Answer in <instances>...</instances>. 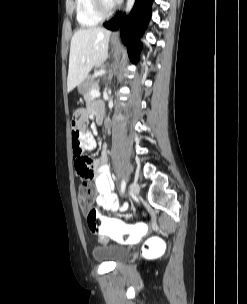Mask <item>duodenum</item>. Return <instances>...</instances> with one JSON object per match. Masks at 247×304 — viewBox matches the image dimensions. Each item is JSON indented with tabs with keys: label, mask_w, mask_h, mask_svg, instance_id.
<instances>
[{
	"label": "duodenum",
	"mask_w": 247,
	"mask_h": 304,
	"mask_svg": "<svg viewBox=\"0 0 247 304\" xmlns=\"http://www.w3.org/2000/svg\"><path fill=\"white\" fill-rule=\"evenodd\" d=\"M89 83L92 81L90 78L87 80ZM83 84V83H82ZM95 117L97 122H101L103 119V109H97L95 111ZM100 128V127H99Z\"/></svg>",
	"instance_id": "410a0bca"
}]
</instances>
